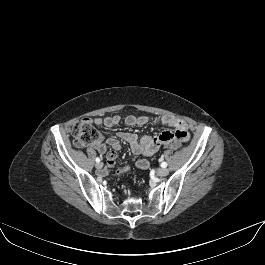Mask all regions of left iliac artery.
Returning <instances> with one entry per match:
<instances>
[{
    "label": "left iliac artery",
    "mask_w": 265,
    "mask_h": 265,
    "mask_svg": "<svg viewBox=\"0 0 265 265\" xmlns=\"http://www.w3.org/2000/svg\"><path fill=\"white\" fill-rule=\"evenodd\" d=\"M159 160L163 161V157H161ZM161 167H163V168L167 167V163L166 162H162L161 163Z\"/></svg>",
    "instance_id": "obj_1"
}]
</instances>
